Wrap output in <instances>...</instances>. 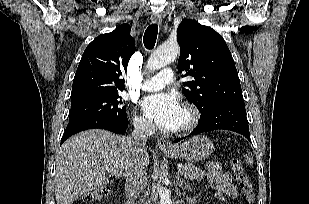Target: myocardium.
Masks as SVG:
<instances>
[{
  "instance_id": "obj_1",
  "label": "myocardium",
  "mask_w": 309,
  "mask_h": 204,
  "mask_svg": "<svg viewBox=\"0 0 309 204\" xmlns=\"http://www.w3.org/2000/svg\"><path fill=\"white\" fill-rule=\"evenodd\" d=\"M184 111L188 115V119L186 123L174 130L175 133L183 134L188 133L196 128L200 121V112L199 110L192 104H184Z\"/></svg>"
}]
</instances>
